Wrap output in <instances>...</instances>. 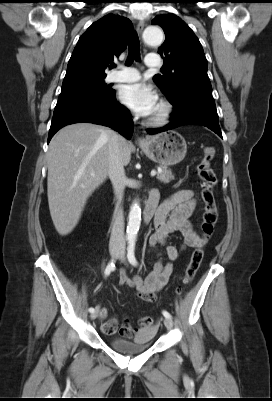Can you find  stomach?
I'll use <instances>...</instances> for the list:
<instances>
[{
	"label": "stomach",
	"mask_w": 272,
	"mask_h": 401,
	"mask_svg": "<svg viewBox=\"0 0 272 401\" xmlns=\"http://www.w3.org/2000/svg\"><path fill=\"white\" fill-rule=\"evenodd\" d=\"M140 147L148 158L162 166L175 165L181 162L187 152L184 137L176 131L149 137L145 143L140 144Z\"/></svg>",
	"instance_id": "obj_1"
}]
</instances>
